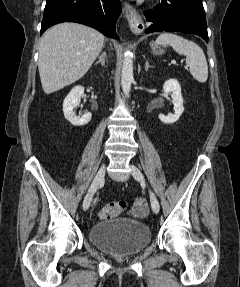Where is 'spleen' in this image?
<instances>
[{
    "mask_svg": "<svg viewBox=\"0 0 240 287\" xmlns=\"http://www.w3.org/2000/svg\"><path fill=\"white\" fill-rule=\"evenodd\" d=\"M157 45H170L180 55L186 56V64L190 73L200 83L208 78V65L205 54L195 42L183 38L175 33L165 32L156 39Z\"/></svg>",
    "mask_w": 240,
    "mask_h": 287,
    "instance_id": "spleen-1",
    "label": "spleen"
}]
</instances>
